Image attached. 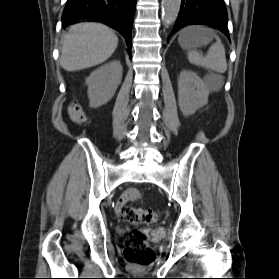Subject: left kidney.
I'll list each match as a JSON object with an SVG mask.
<instances>
[{
  "label": "left kidney",
  "instance_id": "1",
  "mask_svg": "<svg viewBox=\"0 0 279 279\" xmlns=\"http://www.w3.org/2000/svg\"><path fill=\"white\" fill-rule=\"evenodd\" d=\"M208 85L193 71H181L178 79V105L184 116L194 114L208 103Z\"/></svg>",
  "mask_w": 279,
  "mask_h": 279
}]
</instances>
